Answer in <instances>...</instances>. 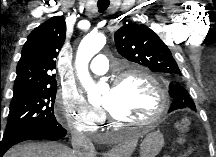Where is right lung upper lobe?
Listing matches in <instances>:
<instances>
[{
	"mask_svg": "<svg viewBox=\"0 0 216 157\" xmlns=\"http://www.w3.org/2000/svg\"><path fill=\"white\" fill-rule=\"evenodd\" d=\"M66 36V23L62 16H54L35 28L27 38L16 69L14 95L23 91L57 86L56 57Z\"/></svg>",
	"mask_w": 216,
	"mask_h": 157,
	"instance_id": "cb5924a9",
	"label": "right lung upper lobe"
}]
</instances>
